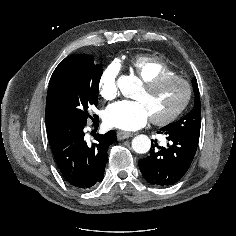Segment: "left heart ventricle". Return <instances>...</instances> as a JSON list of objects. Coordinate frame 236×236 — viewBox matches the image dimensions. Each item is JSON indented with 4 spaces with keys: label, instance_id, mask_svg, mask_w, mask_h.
Returning <instances> with one entry per match:
<instances>
[{
    "label": "left heart ventricle",
    "instance_id": "1",
    "mask_svg": "<svg viewBox=\"0 0 236 236\" xmlns=\"http://www.w3.org/2000/svg\"><path fill=\"white\" fill-rule=\"evenodd\" d=\"M185 94L186 89L181 82L170 81L151 91L142 87L135 98L145 104L151 117H163L182 103Z\"/></svg>",
    "mask_w": 236,
    "mask_h": 236
}]
</instances>
